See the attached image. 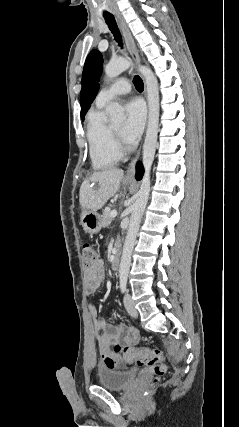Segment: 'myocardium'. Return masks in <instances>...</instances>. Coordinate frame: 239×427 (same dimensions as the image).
<instances>
[{
	"instance_id": "obj_1",
	"label": "myocardium",
	"mask_w": 239,
	"mask_h": 427,
	"mask_svg": "<svg viewBox=\"0 0 239 427\" xmlns=\"http://www.w3.org/2000/svg\"><path fill=\"white\" fill-rule=\"evenodd\" d=\"M112 132H113L114 140H115V143H116V146H117L119 153L122 154V153L127 152L128 148L122 143L118 132L113 128H112Z\"/></svg>"
}]
</instances>
